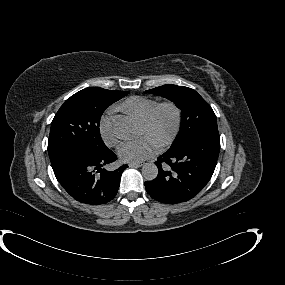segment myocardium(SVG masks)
<instances>
[{
  "label": "myocardium",
  "instance_id": "f54148a6",
  "mask_svg": "<svg viewBox=\"0 0 285 285\" xmlns=\"http://www.w3.org/2000/svg\"><path fill=\"white\" fill-rule=\"evenodd\" d=\"M170 111H172L171 120L165 131H161L162 123ZM180 121L181 111L175 104L171 102L159 104L152 118L145 124L144 132L153 137L159 147H163L175 137L179 130Z\"/></svg>",
  "mask_w": 285,
  "mask_h": 285
}]
</instances>
